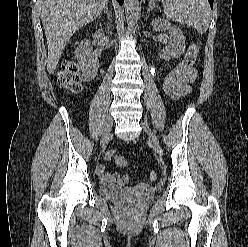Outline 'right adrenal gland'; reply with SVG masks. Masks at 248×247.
I'll return each mask as SVG.
<instances>
[{"label":"right adrenal gland","instance_id":"right-adrenal-gland-1","mask_svg":"<svg viewBox=\"0 0 248 247\" xmlns=\"http://www.w3.org/2000/svg\"><path fill=\"white\" fill-rule=\"evenodd\" d=\"M101 14H105L107 19H108V21L110 23H112V15H111V13L109 11L108 3L105 5L104 9L101 11Z\"/></svg>","mask_w":248,"mask_h":247}]
</instances>
